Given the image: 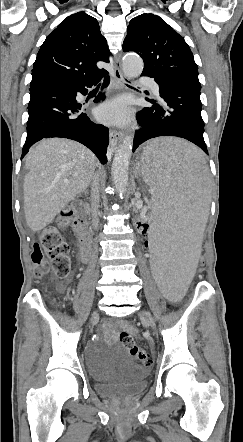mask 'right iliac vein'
Listing matches in <instances>:
<instances>
[{"label": "right iliac vein", "instance_id": "obj_1", "mask_svg": "<svg viewBox=\"0 0 243 442\" xmlns=\"http://www.w3.org/2000/svg\"><path fill=\"white\" fill-rule=\"evenodd\" d=\"M98 317H99L98 313H97V312H95V313H94V315H93V317H92V321H95V320H97V319H98Z\"/></svg>", "mask_w": 243, "mask_h": 442}]
</instances>
